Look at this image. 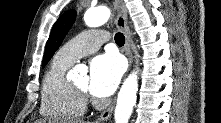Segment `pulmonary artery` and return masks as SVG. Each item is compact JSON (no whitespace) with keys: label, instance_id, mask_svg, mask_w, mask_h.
I'll list each match as a JSON object with an SVG mask.
<instances>
[{"label":"pulmonary artery","instance_id":"e3ab8cb5","mask_svg":"<svg viewBox=\"0 0 221 123\" xmlns=\"http://www.w3.org/2000/svg\"><path fill=\"white\" fill-rule=\"evenodd\" d=\"M107 39L106 32L102 30L82 32L61 47L57 56L70 63H74L78 58L97 51Z\"/></svg>","mask_w":221,"mask_h":123}]
</instances>
